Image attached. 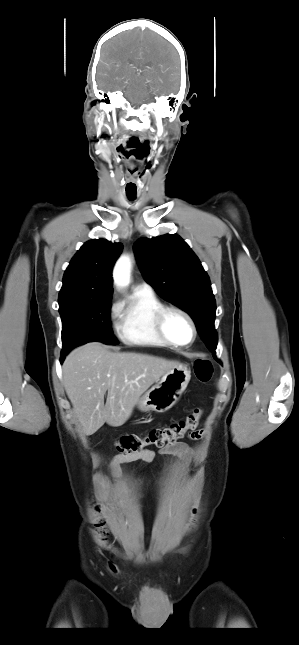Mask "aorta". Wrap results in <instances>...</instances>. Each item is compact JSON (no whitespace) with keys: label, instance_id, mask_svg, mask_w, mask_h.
Segmentation results:
<instances>
[{"label":"aorta","instance_id":"obj_1","mask_svg":"<svg viewBox=\"0 0 299 645\" xmlns=\"http://www.w3.org/2000/svg\"><path fill=\"white\" fill-rule=\"evenodd\" d=\"M114 280L120 285H127L130 278V260L128 257H121L114 268Z\"/></svg>","mask_w":299,"mask_h":645}]
</instances>
